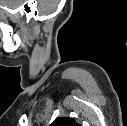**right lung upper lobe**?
<instances>
[{
  "label": "right lung upper lobe",
  "instance_id": "1",
  "mask_svg": "<svg viewBox=\"0 0 127 126\" xmlns=\"http://www.w3.org/2000/svg\"><path fill=\"white\" fill-rule=\"evenodd\" d=\"M50 126H80V125L76 123L73 118L58 117L52 122Z\"/></svg>",
  "mask_w": 127,
  "mask_h": 126
}]
</instances>
